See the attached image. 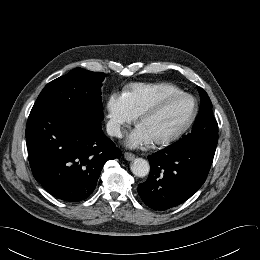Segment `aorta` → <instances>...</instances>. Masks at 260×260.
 I'll return each mask as SVG.
<instances>
[{"label": "aorta", "mask_w": 260, "mask_h": 260, "mask_svg": "<svg viewBox=\"0 0 260 260\" xmlns=\"http://www.w3.org/2000/svg\"><path fill=\"white\" fill-rule=\"evenodd\" d=\"M130 169L135 176L145 177L149 173L150 165L143 158H135L131 163Z\"/></svg>", "instance_id": "obj_1"}]
</instances>
